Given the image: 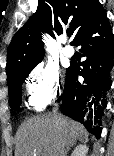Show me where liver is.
Returning <instances> with one entry per match:
<instances>
[{"label": "liver", "instance_id": "obj_1", "mask_svg": "<svg viewBox=\"0 0 114 156\" xmlns=\"http://www.w3.org/2000/svg\"><path fill=\"white\" fill-rule=\"evenodd\" d=\"M84 127L62 115L35 116L24 122L16 135L15 156H59L84 136Z\"/></svg>", "mask_w": 114, "mask_h": 156}]
</instances>
